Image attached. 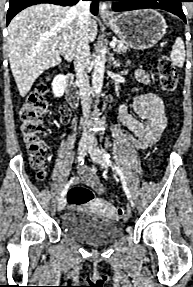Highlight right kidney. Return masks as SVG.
I'll list each match as a JSON object with an SVG mask.
<instances>
[{"label":"right kidney","instance_id":"right-kidney-1","mask_svg":"<svg viewBox=\"0 0 193 287\" xmlns=\"http://www.w3.org/2000/svg\"><path fill=\"white\" fill-rule=\"evenodd\" d=\"M66 87L67 84L65 75L59 74L53 79L52 90L55 97H61L64 94Z\"/></svg>","mask_w":193,"mask_h":287}]
</instances>
